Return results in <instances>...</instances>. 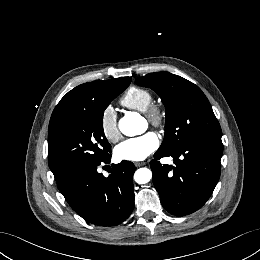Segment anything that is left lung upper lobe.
<instances>
[{
  "mask_svg": "<svg viewBox=\"0 0 260 260\" xmlns=\"http://www.w3.org/2000/svg\"><path fill=\"white\" fill-rule=\"evenodd\" d=\"M135 82L154 90L165 105V137L159 150H175L195 140L221 139L208 99L192 82L169 72L147 74Z\"/></svg>",
  "mask_w": 260,
  "mask_h": 260,
  "instance_id": "1",
  "label": "left lung upper lobe"
}]
</instances>
